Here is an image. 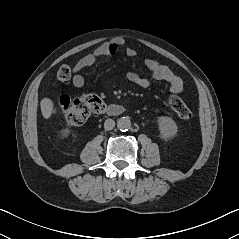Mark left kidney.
I'll return each instance as SVG.
<instances>
[{
	"mask_svg": "<svg viewBox=\"0 0 239 239\" xmlns=\"http://www.w3.org/2000/svg\"><path fill=\"white\" fill-rule=\"evenodd\" d=\"M157 122L162 139H171L177 134V124L171 117L160 116L158 117Z\"/></svg>",
	"mask_w": 239,
	"mask_h": 239,
	"instance_id": "left-kidney-1",
	"label": "left kidney"
}]
</instances>
